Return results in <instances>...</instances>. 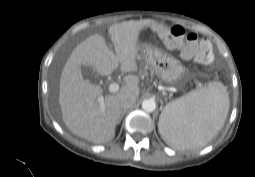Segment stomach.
<instances>
[{
    "instance_id": "stomach-1",
    "label": "stomach",
    "mask_w": 255,
    "mask_h": 177,
    "mask_svg": "<svg viewBox=\"0 0 255 177\" xmlns=\"http://www.w3.org/2000/svg\"><path fill=\"white\" fill-rule=\"evenodd\" d=\"M141 57L167 83L178 82L184 74V67L176 58L152 45L141 47Z\"/></svg>"
}]
</instances>
